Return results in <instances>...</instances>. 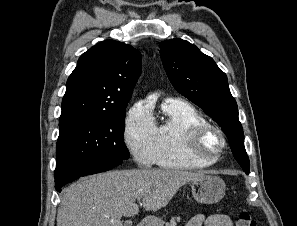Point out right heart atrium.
Segmentation results:
<instances>
[{"label":"right heart atrium","mask_w":297,"mask_h":226,"mask_svg":"<svg viewBox=\"0 0 297 226\" xmlns=\"http://www.w3.org/2000/svg\"><path fill=\"white\" fill-rule=\"evenodd\" d=\"M124 141L134 160L144 167L156 161V125L150 108L136 102L127 112Z\"/></svg>","instance_id":"d8ad5b80"}]
</instances>
